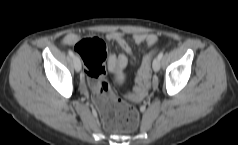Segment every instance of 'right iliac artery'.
Instances as JSON below:
<instances>
[{
    "instance_id": "1",
    "label": "right iliac artery",
    "mask_w": 238,
    "mask_h": 145,
    "mask_svg": "<svg viewBox=\"0 0 238 145\" xmlns=\"http://www.w3.org/2000/svg\"><path fill=\"white\" fill-rule=\"evenodd\" d=\"M68 54L73 58L74 57V53L71 50H68Z\"/></svg>"
}]
</instances>
